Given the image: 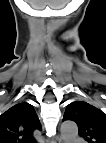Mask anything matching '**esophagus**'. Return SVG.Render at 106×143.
Instances as JSON below:
<instances>
[{
	"instance_id": "obj_1",
	"label": "esophagus",
	"mask_w": 106,
	"mask_h": 143,
	"mask_svg": "<svg viewBox=\"0 0 106 143\" xmlns=\"http://www.w3.org/2000/svg\"><path fill=\"white\" fill-rule=\"evenodd\" d=\"M54 142H61V139H60V137H58V136H56L55 138H54Z\"/></svg>"
}]
</instances>
